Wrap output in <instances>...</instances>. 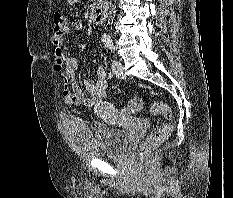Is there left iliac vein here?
I'll return each instance as SVG.
<instances>
[{
    "label": "left iliac vein",
    "instance_id": "4c4485c4",
    "mask_svg": "<svg viewBox=\"0 0 233 198\" xmlns=\"http://www.w3.org/2000/svg\"><path fill=\"white\" fill-rule=\"evenodd\" d=\"M112 72L116 77H118L120 79L126 78V73H125L123 64L118 60L113 61V63H112Z\"/></svg>",
    "mask_w": 233,
    "mask_h": 198
}]
</instances>
